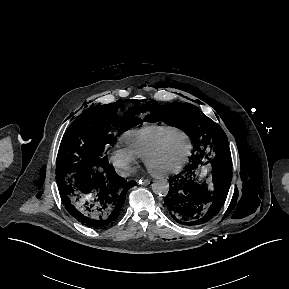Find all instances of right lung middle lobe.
<instances>
[{"instance_id": "1", "label": "right lung middle lobe", "mask_w": 289, "mask_h": 289, "mask_svg": "<svg viewBox=\"0 0 289 289\" xmlns=\"http://www.w3.org/2000/svg\"><path fill=\"white\" fill-rule=\"evenodd\" d=\"M125 101L132 102L118 135L141 123L136 116L140 114L139 101L124 100L113 104L94 106L85 110L67 129L59 149L56 166L58 186L67 183L74 172L84 164L101 160L104 146L114 139L110 126L114 121L116 110Z\"/></svg>"}]
</instances>
